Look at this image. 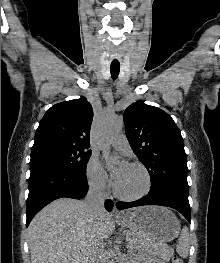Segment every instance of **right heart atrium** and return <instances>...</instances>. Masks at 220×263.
I'll return each mask as SVG.
<instances>
[{
	"mask_svg": "<svg viewBox=\"0 0 220 263\" xmlns=\"http://www.w3.org/2000/svg\"><path fill=\"white\" fill-rule=\"evenodd\" d=\"M85 176L88 186L95 192H105L109 187V178L94 155L87 161Z\"/></svg>",
	"mask_w": 220,
	"mask_h": 263,
	"instance_id": "d8ad5b80",
	"label": "right heart atrium"
}]
</instances>
